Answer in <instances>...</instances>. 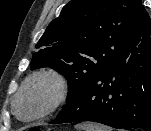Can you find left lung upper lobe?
I'll return each mask as SVG.
<instances>
[{"instance_id": "5c2ea615", "label": "left lung upper lobe", "mask_w": 151, "mask_h": 131, "mask_svg": "<svg viewBox=\"0 0 151 131\" xmlns=\"http://www.w3.org/2000/svg\"><path fill=\"white\" fill-rule=\"evenodd\" d=\"M141 0H72L38 42L30 68L49 66L68 80L67 102L126 54Z\"/></svg>"}]
</instances>
